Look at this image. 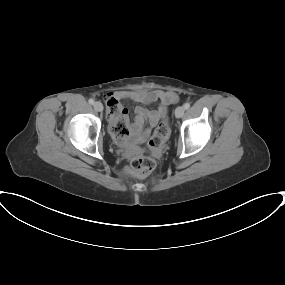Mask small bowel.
<instances>
[{
  "instance_id": "obj_1",
  "label": "small bowel",
  "mask_w": 285,
  "mask_h": 285,
  "mask_svg": "<svg viewBox=\"0 0 285 285\" xmlns=\"http://www.w3.org/2000/svg\"><path fill=\"white\" fill-rule=\"evenodd\" d=\"M106 98L107 100L113 98L117 101L118 99H127L144 105L159 102V106L156 109H147L143 106L136 107L134 111L135 117L131 124H129L128 111L122 106H120L119 116L109 114L107 111V116L111 125L119 119H123L128 124L129 135L124 142L129 146L145 142L150 137L151 131L156 126L159 119L164 115L167 107L178 100V96L175 92L163 90L121 91L110 94Z\"/></svg>"
}]
</instances>
